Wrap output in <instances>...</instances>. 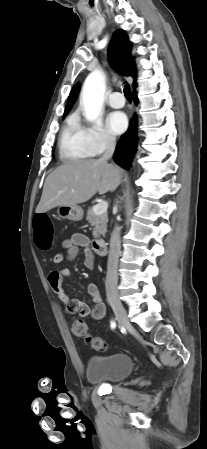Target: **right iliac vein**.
<instances>
[{
    "instance_id": "63e3f726",
    "label": "right iliac vein",
    "mask_w": 207,
    "mask_h": 449,
    "mask_svg": "<svg viewBox=\"0 0 207 449\" xmlns=\"http://www.w3.org/2000/svg\"><path fill=\"white\" fill-rule=\"evenodd\" d=\"M108 301L116 315L119 324L122 327L129 328L131 324L122 303L114 296H109Z\"/></svg>"
}]
</instances>
